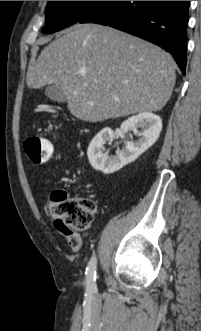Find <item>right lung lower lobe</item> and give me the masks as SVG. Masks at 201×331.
Returning a JSON list of instances; mask_svg holds the SVG:
<instances>
[{
    "label": "right lung lower lobe",
    "mask_w": 201,
    "mask_h": 331,
    "mask_svg": "<svg viewBox=\"0 0 201 331\" xmlns=\"http://www.w3.org/2000/svg\"><path fill=\"white\" fill-rule=\"evenodd\" d=\"M188 8L189 1H105L78 23L107 25L148 40L170 52L185 74Z\"/></svg>",
    "instance_id": "right-lung-lower-lobe-1"
}]
</instances>
